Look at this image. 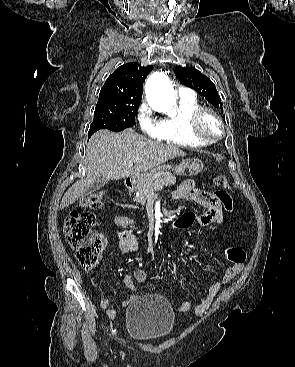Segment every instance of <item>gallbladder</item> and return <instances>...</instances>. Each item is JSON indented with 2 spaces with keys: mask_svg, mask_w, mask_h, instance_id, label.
<instances>
[{
  "mask_svg": "<svg viewBox=\"0 0 295 367\" xmlns=\"http://www.w3.org/2000/svg\"><path fill=\"white\" fill-rule=\"evenodd\" d=\"M108 182V179L106 178H100L98 179L96 182H94L86 191V194H92L93 192L98 191L99 189H101L103 186H105Z\"/></svg>",
  "mask_w": 295,
  "mask_h": 367,
  "instance_id": "obj_1",
  "label": "gallbladder"
}]
</instances>
